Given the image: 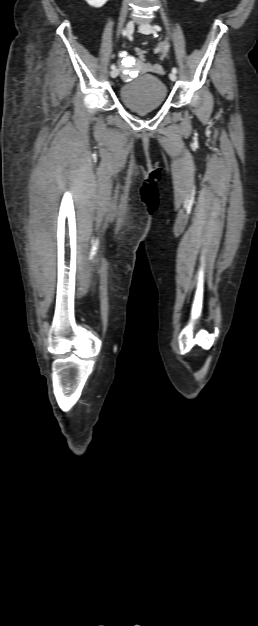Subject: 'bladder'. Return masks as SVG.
Masks as SVG:
<instances>
[{
    "label": "bladder",
    "instance_id": "obj_1",
    "mask_svg": "<svg viewBox=\"0 0 258 626\" xmlns=\"http://www.w3.org/2000/svg\"><path fill=\"white\" fill-rule=\"evenodd\" d=\"M119 94L128 109L139 113L149 112L165 103L167 88L156 76L142 75L123 84Z\"/></svg>",
    "mask_w": 258,
    "mask_h": 626
}]
</instances>
